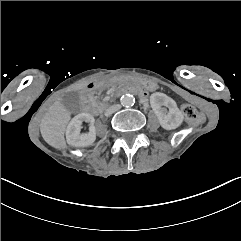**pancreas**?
<instances>
[{
    "label": "pancreas",
    "mask_w": 241,
    "mask_h": 241,
    "mask_svg": "<svg viewBox=\"0 0 241 241\" xmlns=\"http://www.w3.org/2000/svg\"><path fill=\"white\" fill-rule=\"evenodd\" d=\"M90 101H91L93 107H97V105H96V101H97V100H96L94 97H90ZM107 106H108V103L100 102V104H99V106L97 107V109H98L99 111H102V110L105 109V107H107Z\"/></svg>",
    "instance_id": "cf45deb5"
}]
</instances>
